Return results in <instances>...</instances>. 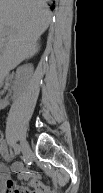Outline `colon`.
Masks as SVG:
<instances>
[{
  "label": "colon",
  "mask_w": 103,
  "mask_h": 193,
  "mask_svg": "<svg viewBox=\"0 0 103 193\" xmlns=\"http://www.w3.org/2000/svg\"><path fill=\"white\" fill-rule=\"evenodd\" d=\"M15 193H26L24 188H17Z\"/></svg>",
  "instance_id": "1"
}]
</instances>
